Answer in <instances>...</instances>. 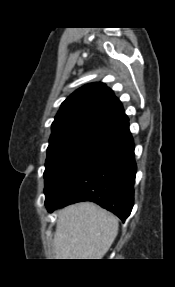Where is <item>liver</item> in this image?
Listing matches in <instances>:
<instances>
[{"label":"liver","mask_w":175,"mask_h":287,"mask_svg":"<svg viewBox=\"0 0 175 287\" xmlns=\"http://www.w3.org/2000/svg\"><path fill=\"white\" fill-rule=\"evenodd\" d=\"M118 219L94 203L58 212L54 235L56 259H102L118 234Z\"/></svg>","instance_id":"1"}]
</instances>
